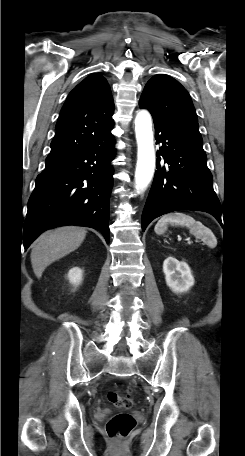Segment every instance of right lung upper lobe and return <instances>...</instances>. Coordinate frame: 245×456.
I'll use <instances>...</instances> for the list:
<instances>
[{"instance_id": "1", "label": "right lung upper lobe", "mask_w": 245, "mask_h": 456, "mask_svg": "<svg viewBox=\"0 0 245 456\" xmlns=\"http://www.w3.org/2000/svg\"><path fill=\"white\" fill-rule=\"evenodd\" d=\"M113 113L114 102L106 79L98 74L88 76L70 92L61 109L45 164L68 159L111 133Z\"/></svg>"}]
</instances>
